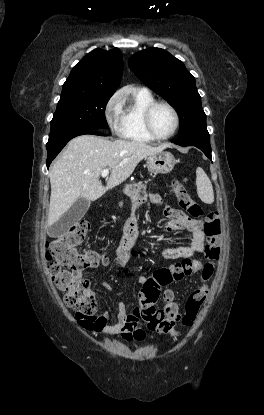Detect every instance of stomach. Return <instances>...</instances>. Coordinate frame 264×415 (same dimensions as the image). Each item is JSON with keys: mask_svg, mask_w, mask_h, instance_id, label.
<instances>
[{"mask_svg": "<svg viewBox=\"0 0 264 415\" xmlns=\"http://www.w3.org/2000/svg\"><path fill=\"white\" fill-rule=\"evenodd\" d=\"M174 156L167 151H162L147 157V167L152 174H167L172 171L175 165ZM142 186L139 184H129L125 187V194L135 197Z\"/></svg>", "mask_w": 264, "mask_h": 415, "instance_id": "obj_1", "label": "stomach"}]
</instances>
